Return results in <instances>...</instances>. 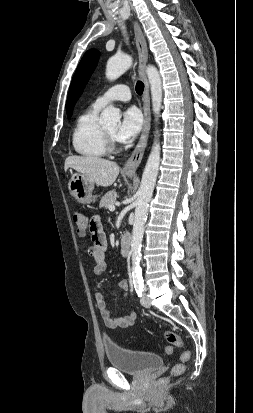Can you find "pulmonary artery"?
Segmentation results:
<instances>
[{
  "label": "pulmonary artery",
  "instance_id": "obj_1",
  "mask_svg": "<svg viewBox=\"0 0 253 413\" xmlns=\"http://www.w3.org/2000/svg\"><path fill=\"white\" fill-rule=\"evenodd\" d=\"M131 99L130 88L124 84H118L109 88L106 92L100 95L94 102V106L103 108L113 101H129Z\"/></svg>",
  "mask_w": 253,
  "mask_h": 413
}]
</instances>
